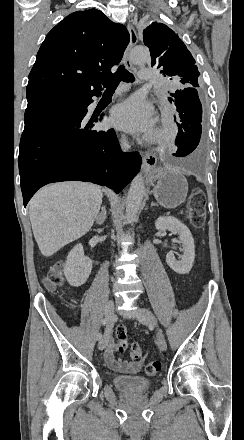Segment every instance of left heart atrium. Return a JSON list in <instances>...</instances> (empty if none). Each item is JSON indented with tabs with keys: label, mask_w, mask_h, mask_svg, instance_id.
Masks as SVG:
<instances>
[{
	"label": "left heart atrium",
	"mask_w": 244,
	"mask_h": 440,
	"mask_svg": "<svg viewBox=\"0 0 244 440\" xmlns=\"http://www.w3.org/2000/svg\"><path fill=\"white\" fill-rule=\"evenodd\" d=\"M111 120L115 127L128 132L151 131L156 113L153 105L143 97L133 96L113 108Z\"/></svg>",
	"instance_id": "39dd6f15"
}]
</instances>
